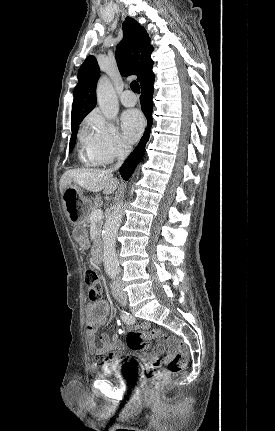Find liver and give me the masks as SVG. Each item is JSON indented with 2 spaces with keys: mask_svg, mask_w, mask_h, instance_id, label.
Instances as JSON below:
<instances>
[{
  "mask_svg": "<svg viewBox=\"0 0 275 431\" xmlns=\"http://www.w3.org/2000/svg\"><path fill=\"white\" fill-rule=\"evenodd\" d=\"M74 183L90 192H100L109 195L118 187L119 181L114 178L109 170L98 169H76L66 171L59 182L60 192L63 194L65 188Z\"/></svg>",
  "mask_w": 275,
  "mask_h": 431,
  "instance_id": "liver-1",
  "label": "liver"
}]
</instances>
